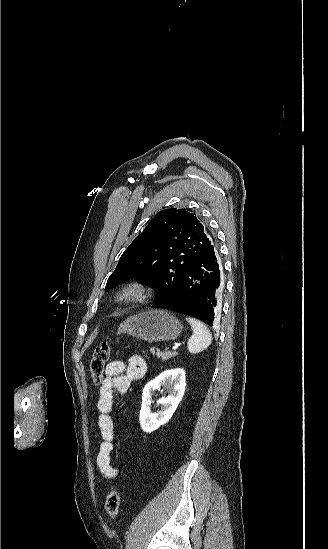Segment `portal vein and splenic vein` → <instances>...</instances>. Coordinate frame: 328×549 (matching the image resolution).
Masks as SVG:
<instances>
[{
	"instance_id": "1",
	"label": "portal vein and splenic vein",
	"mask_w": 328,
	"mask_h": 549,
	"mask_svg": "<svg viewBox=\"0 0 328 549\" xmlns=\"http://www.w3.org/2000/svg\"><path fill=\"white\" fill-rule=\"evenodd\" d=\"M177 347H179V345L172 346L173 351H176Z\"/></svg>"
}]
</instances>
